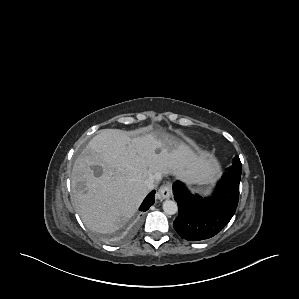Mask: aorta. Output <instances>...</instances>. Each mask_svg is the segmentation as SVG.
I'll return each mask as SVG.
<instances>
[{
    "label": "aorta",
    "instance_id": "obj_1",
    "mask_svg": "<svg viewBox=\"0 0 299 299\" xmlns=\"http://www.w3.org/2000/svg\"><path fill=\"white\" fill-rule=\"evenodd\" d=\"M163 210L168 215H174L178 212V205L175 201L166 200L163 202Z\"/></svg>",
    "mask_w": 299,
    "mask_h": 299
}]
</instances>
